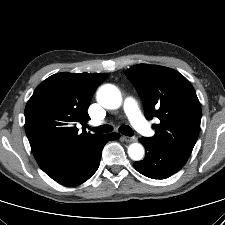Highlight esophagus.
I'll return each instance as SVG.
<instances>
[{"instance_id":"1","label":"esophagus","mask_w":225,"mask_h":225,"mask_svg":"<svg viewBox=\"0 0 225 225\" xmlns=\"http://www.w3.org/2000/svg\"><path fill=\"white\" fill-rule=\"evenodd\" d=\"M126 142H135L137 139L136 137H129V136H123L122 137Z\"/></svg>"}]
</instances>
